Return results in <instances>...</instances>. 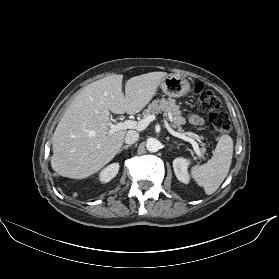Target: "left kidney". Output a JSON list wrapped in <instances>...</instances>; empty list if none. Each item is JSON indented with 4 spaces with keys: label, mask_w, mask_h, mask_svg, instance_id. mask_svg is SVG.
Here are the masks:
<instances>
[{
    "label": "left kidney",
    "mask_w": 279,
    "mask_h": 279,
    "mask_svg": "<svg viewBox=\"0 0 279 279\" xmlns=\"http://www.w3.org/2000/svg\"><path fill=\"white\" fill-rule=\"evenodd\" d=\"M190 161L188 159L178 157L173 161V169L177 179L185 184L190 182V176L188 173V165Z\"/></svg>",
    "instance_id": "5707ae66"
}]
</instances>
